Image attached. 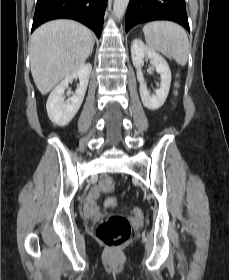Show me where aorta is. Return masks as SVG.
<instances>
[{
	"mask_svg": "<svg viewBox=\"0 0 229 280\" xmlns=\"http://www.w3.org/2000/svg\"><path fill=\"white\" fill-rule=\"evenodd\" d=\"M128 3H129V0H114L113 13L117 19H120L123 17V15L127 9Z\"/></svg>",
	"mask_w": 229,
	"mask_h": 280,
	"instance_id": "762f6f07",
	"label": "aorta"
}]
</instances>
